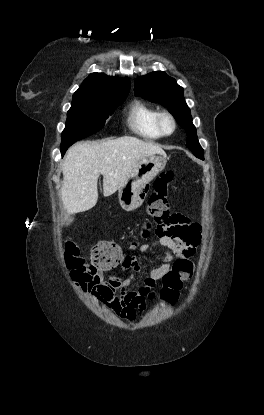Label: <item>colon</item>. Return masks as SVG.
<instances>
[{"label": "colon", "instance_id": "5ec220e1", "mask_svg": "<svg viewBox=\"0 0 264 415\" xmlns=\"http://www.w3.org/2000/svg\"><path fill=\"white\" fill-rule=\"evenodd\" d=\"M174 178L175 173L172 170L164 171L157 177L155 190L148 201V213L152 221L146 224L144 237L153 230L159 236L169 235L172 232L170 223L173 221V216L169 213L168 190ZM64 258L66 268L72 274L96 273L116 266L126 258V254L120 245L109 240L97 243L92 248L89 258L85 259L79 255L76 245L68 242L65 245ZM192 267V262L184 260L177 261L173 265L172 270L162 279L160 296L164 301L169 303L177 301L184 276Z\"/></svg>", "mask_w": 264, "mask_h": 415}]
</instances>
